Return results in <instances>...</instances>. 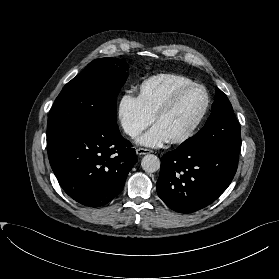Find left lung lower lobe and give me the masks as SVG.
<instances>
[{"mask_svg":"<svg viewBox=\"0 0 279 279\" xmlns=\"http://www.w3.org/2000/svg\"><path fill=\"white\" fill-rule=\"evenodd\" d=\"M238 158V152L222 147H178L162 157L157 193L176 212L203 209L230 185Z\"/></svg>","mask_w":279,"mask_h":279,"instance_id":"1","label":"left lung lower lobe"}]
</instances>
